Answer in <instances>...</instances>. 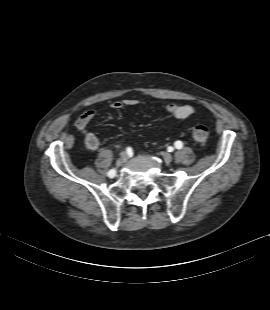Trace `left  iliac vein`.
<instances>
[{
  "instance_id": "4c4485c4",
  "label": "left iliac vein",
  "mask_w": 270,
  "mask_h": 310,
  "mask_svg": "<svg viewBox=\"0 0 270 310\" xmlns=\"http://www.w3.org/2000/svg\"><path fill=\"white\" fill-rule=\"evenodd\" d=\"M163 159L166 163H170L172 161V155L168 152H164Z\"/></svg>"
}]
</instances>
